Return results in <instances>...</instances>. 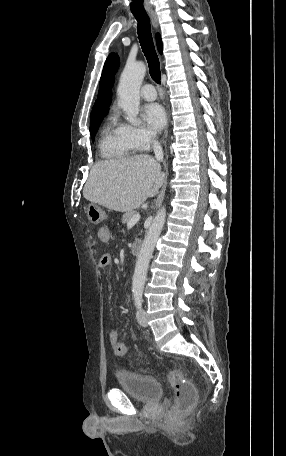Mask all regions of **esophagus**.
Segmentation results:
<instances>
[{
  "instance_id": "34e87169",
  "label": "esophagus",
  "mask_w": 286,
  "mask_h": 456,
  "mask_svg": "<svg viewBox=\"0 0 286 456\" xmlns=\"http://www.w3.org/2000/svg\"><path fill=\"white\" fill-rule=\"evenodd\" d=\"M148 15L151 19V23H152L154 29L157 30L158 29V17L156 15V13L154 11H149ZM167 115H168V124H169V111H167ZM168 124H167V127H168Z\"/></svg>"
}]
</instances>
